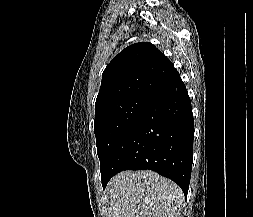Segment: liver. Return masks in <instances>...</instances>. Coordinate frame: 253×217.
<instances>
[{
  "instance_id": "6515ba94",
  "label": "liver",
  "mask_w": 253,
  "mask_h": 217,
  "mask_svg": "<svg viewBox=\"0 0 253 217\" xmlns=\"http://www.w3.org/2000/svg\"><path fill=\"white\" fill-rule=\"evenodd\" d=\"M109 217H178L182 190L153 171H124L107 186Z\"/></svg>"
}]
</instances>
